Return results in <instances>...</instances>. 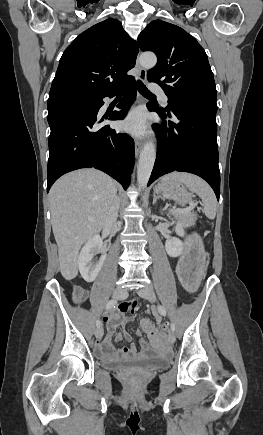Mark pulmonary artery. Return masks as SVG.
I'll use <instances>...</instances> for the list:
<instances>
[{"instance_id":"obj_1","label":"pulmonary artery","mask_w":263,"mask_h":435,"mask_svg":"<svg viewBox=\"0 0 263 435\" xmlns=\"http://www.w3.org/2000/svg\"><path fill=\"white\" fill-rule=\"evenodd\" d=\"M149 87H150V90L152 92L157 93L161 96V99H162L164 104H166V105L168 104V97L166 96V94L164 93V91L162 90V88L158 84L151 83L149 85Z\"/></svg>"}]
</instances>
